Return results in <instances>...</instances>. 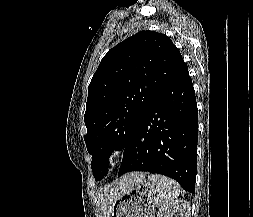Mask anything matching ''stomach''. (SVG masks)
I'll list each match as a JSON object with an SVG mask.
<instances>
[{"label": "stomach", "instance_id": "0dacf381", "mask_svg": "<svg viewBox=\"0 0 253 217\" xmlns=\"http://www.w3.org/2000/svg\"><path fill=\"white\" fill-rule=\"evenodd\" d=\"M156 199L154 185L143 178L113 202L109 217H153Z\"/></svg>", "mask_w": 253, "mask_h": 217}]
</instances>
